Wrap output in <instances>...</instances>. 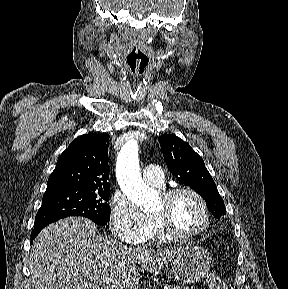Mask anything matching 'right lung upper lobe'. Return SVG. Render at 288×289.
<instances>
[{"mask_svg":"<svg viewBox=\"0 0 288 289\" xmlns=\"http://www.w3.org/2000/svg\"><path fill=\"white\" fill-rule=\"evenodd\" d=\"M109 135L84 134L58 158L47 189H95L110 187L108 169Z\"/></svg>","mask_w":288,"mask_h":289,"instance_id":"1","label":"right lung upper lobe"}]
</instances>
